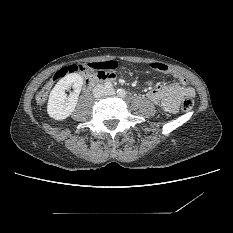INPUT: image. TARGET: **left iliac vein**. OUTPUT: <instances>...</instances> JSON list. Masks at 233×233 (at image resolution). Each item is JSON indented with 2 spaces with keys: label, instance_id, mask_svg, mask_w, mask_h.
I'll return each instance as SVG.
<instances>
[{
  "label": "left iliac vein",
  "instance_id": "1",
  "mask_svg": "<svg viewBox=\"0 0 233 233\" xmlns=\"http://www.w3.org/2000/svg\"><path fill=\"white\" fill-rule=\"evenodd\" d=\"M107 93H108L109 95H113V94H115V90H114V89H109V90L107 91Z\"/></svg>",
  "mask_w": 233,
  "mask_h": 233
}]
</instances>
